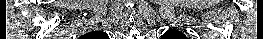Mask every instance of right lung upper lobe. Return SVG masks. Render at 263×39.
I'll return each instance as SVG.
<instances>
[{"mask_svg":"<svg viewBox=\"0 0 263 39\" xmlns=\"http://www.w3.org/2000/svg\"><path fill=\"white\" fill-rule=\"evenodd\" d=\"M106 36L107 34L102 31H92L90 33L85 34L82 38L83 39H105Z\"/></svg>","mask_w":263,"mask_h":39,"instance_id":"obj_1","label":"right lung upper lobe"}]
</instances>
